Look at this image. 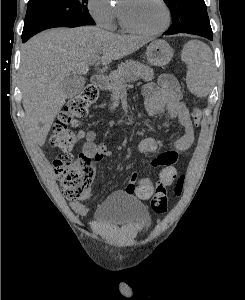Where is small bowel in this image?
<instances>
[{
	"instance_id": "c3829d8e",
	"label": "small bowel",
	"mask_w": 245,
	"mask_h": 300,
	"mask_svg": "<svg viewBox=\"0 0 245 300\" xmlns=\"http://www.w3.org/2000/svg\"><path fill=\"white\" fill-rule=\"evenodd\" d=\"M144 97V107L150 116H155L164 110H167L171 118L178 121L181 126V133L174 141L173 150L161 153L150 162V166L161 168L158 181L155 183V190H166L171 188L177 179L175 165L179 163V152L186 151L191 148L194 143V128L189 115L186 104L183 101V94L177 79L170 74H162L156 83H147L142 88ZM105 135L107 136L112 127L113 122L104 123ZM97 131L89 130L84 135V143L82 146L81 156L99 162L103 157H111L112 152L107 148L105 143H96ZM138 151L143 154L155 153L158 149V141L154 137H146L138 143ZM137 173L133 172L129 178L125 188L127 194H134L135 184L137 182ZM87 192L79 200H73L70 203L71 208L78 214H85L88 211L84 200L90 197Z\"/></svg>"
}]
</instances>
